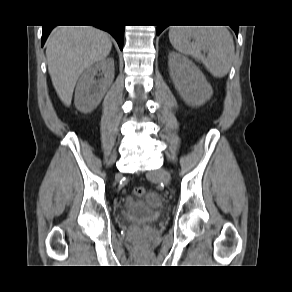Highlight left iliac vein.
I'll use <instances>...</instances> for the list:
<instances>
[{
    "instance_id": "obj_1",
    "label": "left iliac vein",
    "mask_w": 292,
    "mask_h": 292,
    "mask_svg": "<svg viewBox=\"0 0 292 292\" xmlns=\"http://www.w3.org/2000/svg\"><path fill=\"white\" fill-rule=\"evenodd\" d=\"M150 177L159 179L165 185H168L171 179L170 173L167 170L162 169V168L157 169L156 171L152 172L150 174Z\"/></svg>"
}]
</instances>
